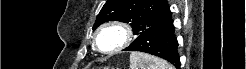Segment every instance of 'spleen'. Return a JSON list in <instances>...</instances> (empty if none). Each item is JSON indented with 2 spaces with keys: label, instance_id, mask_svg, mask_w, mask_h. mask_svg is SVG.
<instances>
[{
  "label": "spleen",
  "instance_id": "3e777b00",
  "mask_svg": "<svg viewBox=\"0 0 246 69\" xmlns=\"http://www.w3.org/2000/svg\"><path fill=\"white\" fill-rule=\"evenodd\" d=\"M130 69H174L167 61L134 51L130 54Z\"/></svg>",
  "mask_w": 246,
  "mask_h": 69
}]
</instances>
